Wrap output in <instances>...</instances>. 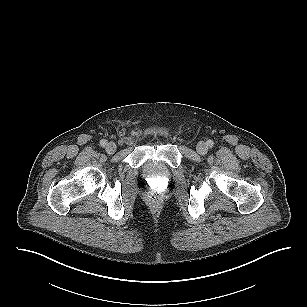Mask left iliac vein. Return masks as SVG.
<instances>
[{"label":"left iliac vein","mask_w":307,"mask_h":307,"mask_svg":"<svg viewBox=\"0 0 307 307\" xmlns=\"http://www.w3.org/2000/svg\"><path fill=\"white\" fill-rule=\"evenodd\" d=\"M196 150L200 155H204L208 152V147L206 143L204 142H199L196 146Z\"/></svg>","instance_id":"obj_1"}]
</instances>
